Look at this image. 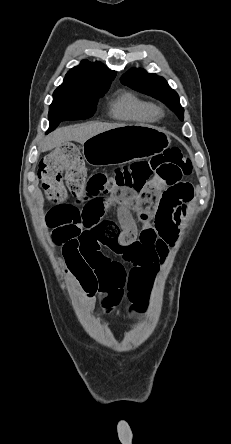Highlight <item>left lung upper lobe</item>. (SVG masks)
I'll list each match as a JSON object with an SVG mask.
<instances>
[{
	"mask_svg": "<svg viewBox=\"0 0 231 444\" xmlns=\"http://www.w3.org/2000/svg\"><path fill=\"white\" fill-rule=\"evenodd\" d=\"M121 82L134 90L150 95L173 110L181 120L184 109L180 105L178 94L171 89L163 77L148 73L143 69L133 68L121 77Z\"/></svg>",
	"mask_w": 231,
	"mask_h": 444,
	"instance_id": "5c2ea615",
	"label": "left lung upper lobe"
}]
</instances>
